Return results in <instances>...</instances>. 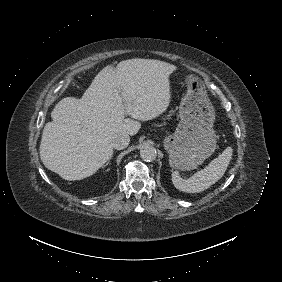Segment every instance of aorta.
<instances>
[{
	"label": "aorta",
	"mask_w": 282,
	"mask_h": 282,
	"mask_svg": "<svg viewBox=\"0 0 282 282\" xmlns=\"http://www.w3.org/2000/svg\"><path fill=\"white\" fill-rule=\"evenodd\" d=\"M140 157L146 162L153 161L157 157V151L153 146L143 145L140 149Z\"/></svg>",
	"instance_id": "obj_1"
}]
</instances>
